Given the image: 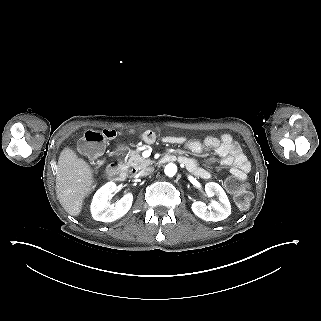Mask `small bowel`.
<instances>
[{"label": "small bowel", "mask_w": 321, "mask_h": 321, "mask_svg": "<svg viewBox=\"0 0 321 321\" xmlns=\"http://www.w3.org/2000/svg\"><path fill=\"white\" fill-rule=\"evenodd\" d=\"M141 138L147 143H152L155 140V134L148 130L142 133ZM164 142L171 144L184 143L185 147L196 155L201 154L205 149H213L215 155L220 159V163L230 168L233 177L244 179L251 168L250 162L240 145L229 134H223L220 138L208 136L202 142L197 140L186 141L182 136H167L164 138ZM182 158V163L195 176L202 179L211 177V173L206 166L200 165L193 158ZM212 161H214V158L211 159Z\"/></svg>", "instance_id": "c3829d8e"}]
</instances>
